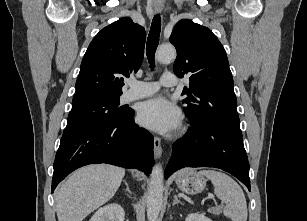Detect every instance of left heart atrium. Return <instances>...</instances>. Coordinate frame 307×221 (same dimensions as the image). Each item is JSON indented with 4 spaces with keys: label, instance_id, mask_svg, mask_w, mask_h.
<instances>
[{
    "label": "left heart atrium",
    "instance_id": "1",
    "mask_svg": "<svg viewBox=\"0 0 307 221\" xmlns=\"http://www.w3.org/2000/svg\"><path fill=\"white\" fill-rule=\"evenodd\" d=\"M138 120L150 130L168 134L179 126L180 112L165 98L155 97L140 105Z\"/></svg>",
    "mask_w": 307,
    "mask_h": 221
}]
</instances>
